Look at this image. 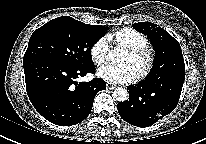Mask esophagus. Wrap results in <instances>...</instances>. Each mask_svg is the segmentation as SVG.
I'll use <instances>...</instances> for the list:
<instances>
[{
	"label": "esophagus",
	"instance_id": "esophagus-1",
	"mask_svg": "<svg viewBox=\"0 0 206 144\" xmlns=\"http://www.w3.org/2000/svg\"><path fill=\"white\" fill-rule=\"evenodd\" d=\"M106 87H107L108 90H113V89L116 88V85L111 84V83H107V84H106Z\"/></svg>",
	"mask_w": 206,
	"mask_h": 144
}]
</instances>
